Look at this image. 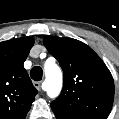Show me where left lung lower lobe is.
<instances>
[{"mask_svg":"<svg viewBox=\"0 0 119 119\" xmlns=\"http://www.w3.org/2000/svg\"><path fill=\"white\" fill-rule=\"evenodd\" d=\"M57 119H94L89 117L78 116L71 113H57L54 112Z\"/></svg>","mask_w":119,"mask_h":119,"instance_id":"left-lung-lower-lobe-1","label":"left lung lower lobe"}]
</instances>
